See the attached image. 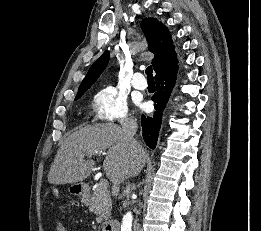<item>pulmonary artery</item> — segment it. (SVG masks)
<instances>
[{
    "instance_id": "obj_1",
    "label": "pulmonary artery",
    "mask_w": 261,
    "mask_h": 231,
    "mask_svg": "<svg viewBox=\"0 0 261 231\" xmlns=\"http://www.w3.org/2000/svg\"><path fill=\"white\" fill-rule=\"evenodd\" d=\"M132 86L138 90H144L147 87V82L141 72H136L132 78Z\"/></svg>"
}]
</instances>
